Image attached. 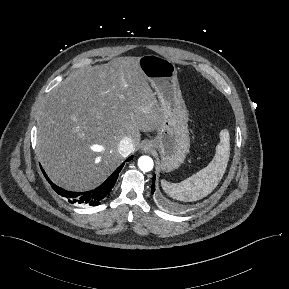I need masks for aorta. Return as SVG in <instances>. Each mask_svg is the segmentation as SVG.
I'll return each instance as SVG.
<instances>
[{"instance_id": "aorta-1", "label": "aorta", "mask_w": 289, "mask_h": 289, "mask_svg": "<svg viewBox=\"0 0 289 289\" xmlns=\"http://www.w3.org/2000/svg\"><path fill=\"white\" fill-rule=\"evenodd\" d=\"M153 166H154L153 159L149 156H141L138 159V167L143 172L151 171L153 169Z\"/></svg>"}]
</instances>
